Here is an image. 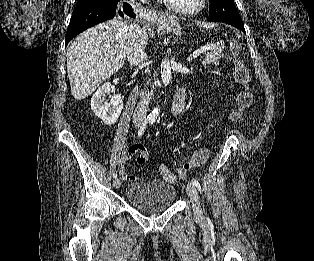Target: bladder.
Masks as SVG:
<instances>
[{
    "label": "bladder",
    "instance_id": "1",
    "mask_svg": "<svg viewBox=\"0 0 314 261\" xmlns=\"http://www.w3.org/2000/svg\"><path fill=\"white\" fill-rule=\"evenodd\" d=\"M176 196V187L161 180L133 182L126 189L127 202L138 211L149 215L172 207Z\"/></svg>",
    "mask_w": 314,
    "mask_h": 261
}]
</instances>
